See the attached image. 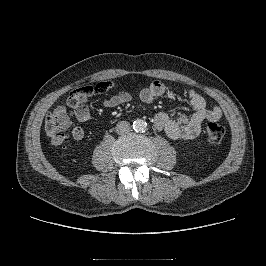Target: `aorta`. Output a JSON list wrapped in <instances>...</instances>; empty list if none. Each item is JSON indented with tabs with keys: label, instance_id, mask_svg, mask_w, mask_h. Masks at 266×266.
<instances>
[{
	"label": "aorta",
	"instance_id": "762f6f07",
	"mask_svg": "<svg viewBox=\"0 0 266 266\" xmlns=\"http://www.w3.org/2000/svg\"><path fill=\"white\" fill-rule=\"evenodd\" d=\"M133 129L135 132H145L147 129V123L142 119H137L133 122Z\"/></svg>",
	"mask_w": 266,
	"mask_h": 266
}]
</instances>
